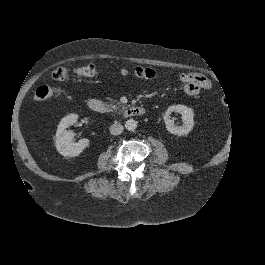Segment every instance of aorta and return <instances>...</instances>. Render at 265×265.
Segmentation results:
<instances>
[{
	"instance_id": "aorta-1",
	"label": "aorta",
	"mask_w": 265,
	"mask_h": 265,
	"mask_svg": "<svg viewBox=\"0 0 265 265\" xmlns=\"http://www.w3.org/2000/svg\"><path fill=\"white\" fill-rule=\"evenodd\" d=\"M125 128L129 131H134L137 128V121L129 119L125 122Z\"/></svg>"
}]
</instances>
